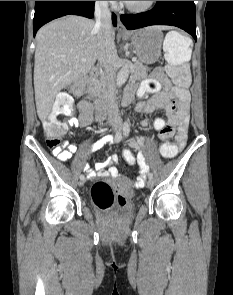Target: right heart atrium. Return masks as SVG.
<instances>
[{
    "mask_svg": "<svg viewBox=\"0 0 233 295\" xmlns=\"http://www.w3.org/2000/svg\"><path fill=\"white\" fill-rule=\"evenodd\" d=\"M99 2L106 4V3H113L114 1H99Z\"/></svg>",
    "mask_w": 233,
    "mask_h": 295,
    "instance_id": "right-heart-atrium-1",
    "label": "right heart atrium"
}]
</instances>
